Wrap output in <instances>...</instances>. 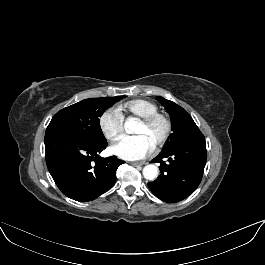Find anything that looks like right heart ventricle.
I'll return each instance as SVG.
<instances>
[{"mask_svg":"<svg viewBox=\"0 0 265 265\" xmlns=\"http://www.w3.org/2000/svg\"><path fill=\"white\" fill-rule=\"evenodd\" d=\"M119 113L125 115L142 118L149 114L158 112V107L155 103L145 99L130 100L118 107Z\"/></svg>","mask_w":265,"mask_h":265,"instance_id":"1","label":"right heart ventricle"}]
</instances>
